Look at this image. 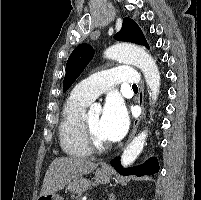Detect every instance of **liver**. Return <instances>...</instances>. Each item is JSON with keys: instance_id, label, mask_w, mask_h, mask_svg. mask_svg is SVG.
Wrapping results in <instances>:
<instances>
[{"instance_id": "1", "label": "liver", "mask_w": 201, "mask_h": 200, "mask_svg": "<svg viewBox=\"0 0 201 200\" xmlns=\"http://www.w3.org/2000/svg\"><path fill=\"white\" fill-rule=\"evenodd\" d=\"M97 166L98 164L83 158L54 159L45 174L40 196L61 190L71 180L92 172Z\"/></svg>"}]
</instances>
